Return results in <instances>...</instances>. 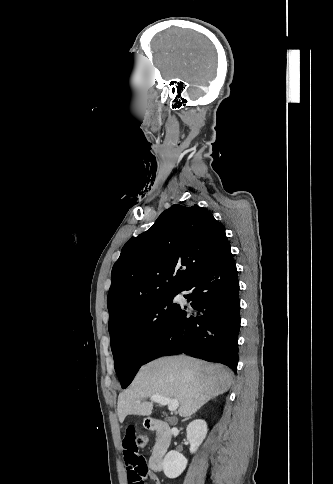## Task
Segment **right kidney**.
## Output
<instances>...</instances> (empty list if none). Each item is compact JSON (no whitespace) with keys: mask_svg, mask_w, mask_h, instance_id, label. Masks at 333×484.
<instances>
[{"mask_svg":"<svg viewBox=\"0 0 333 484\" xmlns=\"http://www.w3.org/2000/svg\"><path fill=\"white\" fill-rule=\"evenodd\" d=\"M187 440L190 452L195 453L207 435V424L204 420H194L187 426ZM187 459L177 451L168 452L163 460V470L166 477L174 479L182 474L187 466Z\"/></svg>","mask_w":333,"mask_h":484,"instance_id":"ca27d5eb","label":"right kidney"}]
</instances>
